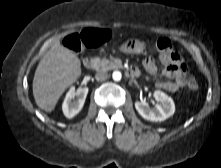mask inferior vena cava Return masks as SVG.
Masks as SVG:
<instances>
[{
    "label": "inferior vena cava",
    "instance_id": "602c4592",
    "mask_svg": "<svg viewBox=\"0 0 221 168\" xmlns=\"http://www.w3.org/2000/svg\"><path fill=\"white\" fill-rule=\"evenodd\" d=\"M108 78V73L106 71H98L95 75L97 81H104Z\"/></svg>",
    "mask_w": 221,
    "mask_h": 168
}]
</instances>
